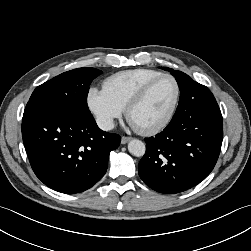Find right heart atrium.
I'll return each instance as SVG.
<instances>
[{
    "label": "right heart atrium",
    "instance_id": "d8ad5b80",
    "mask_svg": "<svg viewBox=\"0 0 251 251\" xmlns=\"http://www.w3.org/2000/svg\"><path fill=\"white\" fill-rule=\"evenodd\" d=\"M87 105L97 124L104 130L113 127L124 109L102 88L92 87L87 94Z\"/></svg>",
    "mask_w": 251,
    "mask_h": 251
}]
</instances>
